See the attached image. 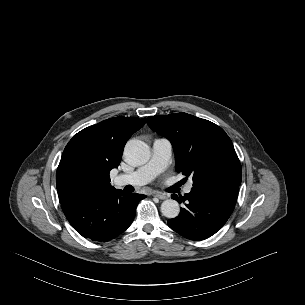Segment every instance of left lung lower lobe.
I'll list each match as a JSON object with an SVG mask.
<instances>
[{
    "instance_id": "left-lung-lower-lobe-1",
    "label": "left lung lower lobe",
    "mask_w": 305,
    "mask_h": 305,
    "mask_svg": "<svg viewBox=\"0 0 305 305\" xmlns=\"http://www.w3.org/2000/svg\"><path fill=\"white\" fill-rule=\"evenodd\" d=\"M239 185H221L209 189L192 188L184 196L172 198L185 203L179 216L168 220L171 229L191 240H203L215 234L235 207Z\"/></svg>"
}]
</instances>
